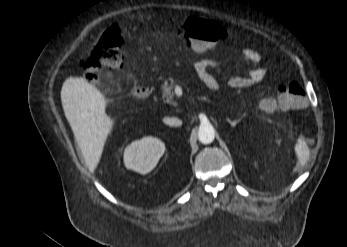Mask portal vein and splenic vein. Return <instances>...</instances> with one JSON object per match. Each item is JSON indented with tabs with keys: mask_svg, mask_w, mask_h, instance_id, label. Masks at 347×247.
Here are the masks:
<instances>
[{
	"mask_svg": "<svg viewBox=\"0 0 347 247\" xmlns=\"http://www.w3.org/2000/svg\"><path fill=\"white\" fill-rule=\"evenodd\" d=\"M175 94L177 96H181L182 95V90H181V88L179 86L175 87Z\"/></svg>",
	"mask_w": 347,
	"mask_h": 247,
	"instance_id": "18ae733b",
	"label": "portal vein and splenic vein"
}]
</instances>
